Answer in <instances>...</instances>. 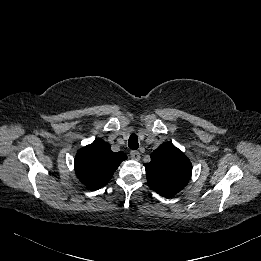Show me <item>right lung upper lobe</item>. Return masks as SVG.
I'll return each mask as SVG.
<instances>
[{"label": "right lung upper lobe", "mask_w": 261, "mask_h": 261, "mask_svg": "<svg viewBox=\"0 0 261 261\" xmlns=\"http://www.w3.org/2000/svg\"><path fill=\"white\" fill-rule=\"evenodd\" d=\"M126 159L125 153H115L107 142L96 139L77 152L75 172L88 189L97 190L108 183L120 163Z\"/></svg>", "instance_id": "cb5924a9"}]
</instances>
